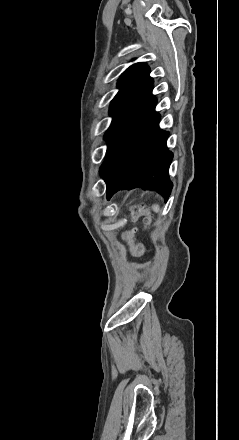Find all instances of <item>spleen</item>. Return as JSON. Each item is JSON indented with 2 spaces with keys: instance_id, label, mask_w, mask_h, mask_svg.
<instances>
[{
  "instance_id": "spleen-1",
  "label": "spleen",
  "mask_w": 239,
  "mask_h": 440,
  "mask_svg": "<svg viewBox=\"0 0 239 440\" xmlns=\"http://www.w3.org/2000/svg\"><path fill=\"white\" fill-rule=\"evenodd\" d=\"M153 208V212H160V208L159 206H157V204H154V206H152Z\"/></svg>"
}]
</instances>
